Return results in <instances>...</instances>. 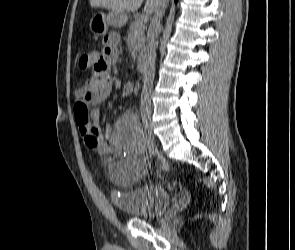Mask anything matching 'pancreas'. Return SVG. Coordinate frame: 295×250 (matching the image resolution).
Returning a JSON list of instances; mask_svg holds the SVG:
<instances>
[{
    "mask_svg": "<svg viewBox=\"0 0 295 250\" xmlns=\"http://www.w3.org/2000/svg\"><path fill=\"white\" fill-rule=\"evenodd\" d=\"M129 30L136 39L137 50L142 54L145 51V23L141 22V19L136 16L135 20L130 23Z\"/></svg>",
    "mask_w": 295,
    "mask_h": 250,
    "instance_id": "pancreas-1",
    "label": "pancreas"
}]
</instances>
